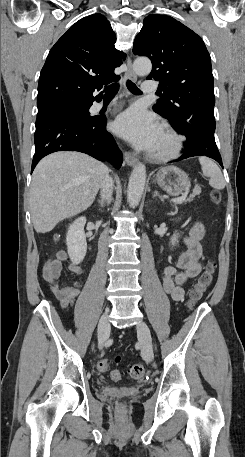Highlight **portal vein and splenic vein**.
<instances>
[{
	"label": "portal vein and splenic vein",
	"mask_w": 245,
	"mask_h": 457,
	"mask_svg": "<svg viewBox=\"0 0 245 457\" xmlns=\"http://www.w3.org/2000/svg\"><path fill=\"white\" fill-rule=\"evenodd\" d=\"M191 186H192V183L191 182H187L186 186H185V191L186 192H184V194H182V196H178V198H172L173 202H183V200H185V198H187V194L190 191Z\"/></svg>",
	"instance_id": "obj_1"
}]
</instances>
